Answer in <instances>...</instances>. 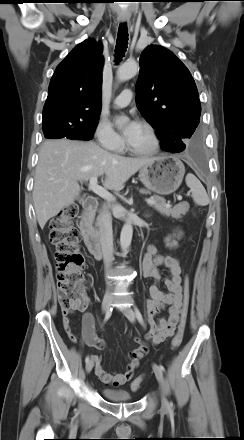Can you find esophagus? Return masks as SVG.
<instances>
[{"mask_svg": "<svg viewBox=\"0 0 244 440\" xmlns=\"http://www.w3.org/2000/svg\"><path fill=\"white\" fill-rule=\"evenodd\" d=\"M120 21H121V22H128L129 19H127V18H121Z\"/></svg>", "mask_w": 244, "mask_h": 440, "instance_id": "34e87169", "label": "esophagus"}]
</instances>
